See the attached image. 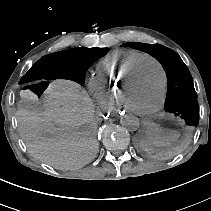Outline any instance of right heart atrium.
I'll list each match as a JSON object with an SVG mask.
<instances>
[{
    "label": "right heart atrium",
    "instance_id": "right-heart-atrium-1",
    "mask_svg": "<svg viewBox=\"0 0 211 211\" xmlns=\"http://www.w3.org/2000/svg\"><path fill=\"white\" fill-rule=\"evenodd\" d=\"M88 86L98 106L100 108H105L107 105L106 96L95 77L89 80Z\"/></svg>",
    "mask_w": 211,
    "mask_h": 211
}]
</instances>
